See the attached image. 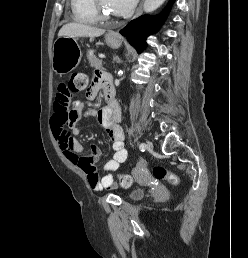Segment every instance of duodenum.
I'll list each match as a JSON object with an SVG mask.
<instances>
[{
	"mask_svg": "<svg viewBox=\"0 0 248 258\" xmlns=\"http://www.w3.org/2000/svg\"><path fill=\"white\" fill-rule=\"evenodd\" d=\"M103 82L105 85V97L107 99V107L111 108L113 106V96H114V87L111 81L107 77H103Z\"/></svg>",
	"mask_w": 248,
	"mask_h": 258,
	"instance_id": "obj_1",
	"label": "duodenum"
}]
</instances>
